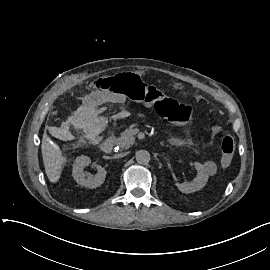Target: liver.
<instances>
[{
    "label": "liver",
    "mask_w": 270,
    "mask_h": 270,
    "mask_svg": "<svg viewBox=\"0 0 270 270\" xmlns=\"http://www.w3.org/2000/svg\"><path fill=\"white\" fill-rule=\"evenodd\" d=\"M41 151L45 173L50 183L56 184L62 177L66 157L63 155L62 150L58 145L50 142V138L47 133L43 134Z\"/></svg>",
    "instance_id": "6515ba94"
}]
</instances>
